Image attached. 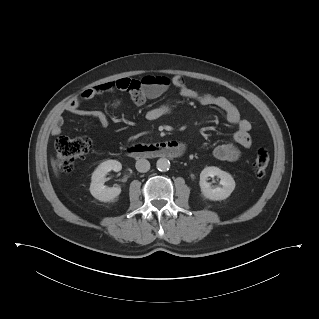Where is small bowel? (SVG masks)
Here are the masks:
<instances>
[{"instance_id":"obj_1","label":"small bowel","mask_w":319,"mask_h":319,"mask_svg":"<svg viewBox=\"0 0 319 319\" xmlns=\"http://www.w3.org/2000/svg\"><path fill=\"white\" fill-rule=\"evenodd\" d=\"M129 79H120L117 81L102 84L93 88L84 90L78 97L70 100L65 111L69 114L77 116H85L95 118L102 127L109 125L108 115L101 110H85L82 108L83 103L93 99L95 96L102 95L106 92L118 89L122 90L123 86ZM171 84L176 88L180 95L184 98L196 101L204 106H211L222 111L226 117V120L236 126V131L233 136V142L224 143L216 146L213 150V155L216 159L221 161H235L242 156L244 149L251 146L252 140L250 136L251 123L241 117L237 107L226 97L214 95L210 93H204L197 91L186 84L181 76H174ZM145 95L142 92L130 95L131 100L137 104H143L147 99L158 97L162 94ZM120 105V100H114L111 103V107L116 109ZM170 111L168 105L161 104L150 108L146 112V118L149 121H156L166 116ZM62 133V121L58 119L57 123L52 127V134L59 136Z\"/></svg>"}]
</instances>
